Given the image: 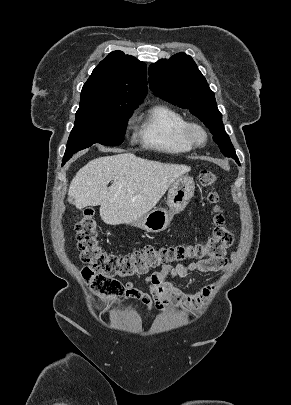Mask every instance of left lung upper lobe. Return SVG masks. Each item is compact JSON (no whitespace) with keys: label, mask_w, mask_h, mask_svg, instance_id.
Instances as JSON below:
<instances>
[{"label":"left lung upper lobe","mask_w":291,"mask_h":405,"mask_svg":"<svg viewBox=\"0 0 291 405\" xmlns=\"http://www.w3.org/2000/svg\"><path fill=\"white\" fill-rule=\"evenodd\" d=\"M149 86L156 96L189 109L210 129L220 151L239 163L235 149L225 132L214 92L210 90L191 56L178 53L168 60L161 59L151 64Z\"/></svg>","instance_id":"left-lung-upper-lobe-1"}]
</instances>
